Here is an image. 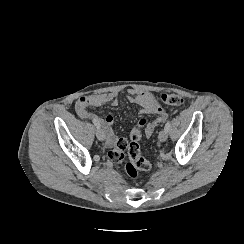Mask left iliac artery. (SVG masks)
<instances>
[{
	"mask_svg": "<svg viewBox=\"0 0 244 244\" xmlns=\"http://www.w3.org/2000/svg\"><path fill=\"white\" fill-rule=\"evenodd\" d=\"M170 125H171V122H170V120H168L167 122H166V124H165V127H164V129L168 132V130H169V128H170Z\"/></svg>",
	"mask_w": 244,
	"mask_h": 244,
	"instance_id": "obj_1",
	"label": "left iliac artery"
}]
</instances>
